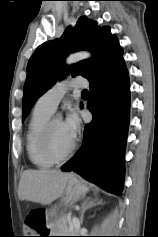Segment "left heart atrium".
<instances>
[{
  "label": "left heart atrium",
  "mask_w": 158,
  "mask_h": 237,
  "mask_svg": "<svg viewBox=\"0 0 158 237\" xmlns=\"http://www.w3.org/2000/svg\"><path fill=\"white\" fill-rule=\"evenodd\" d=\"M62 125L67 136L72 141H74L80 129L79 118L77 114L74 111H71L62 123Z\"/></svg>",
  "instance_id": "39dd6f15"
}]
</instances>
